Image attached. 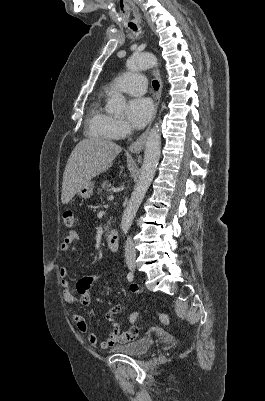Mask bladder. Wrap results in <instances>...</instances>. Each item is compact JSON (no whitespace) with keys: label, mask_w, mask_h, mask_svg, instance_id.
I'll return each instance as SVG.
<instances>
[{"label":"bladder","mask_w":265,"mask_h":401,"mask_svg":"<svg viewBox=\"0 0 265 401\" xmlns=\"http://www.w3.org/2000/svg\"><path fill=\"white\" fill-rule=\"evenodd\" d=\"M153 344V339L143 337L132 341L131 343L123 346H118L112 350L119 351L126 354H143L146 353Z\"/></svg>","instance_id":"31cf9c89"}]
</instances>
